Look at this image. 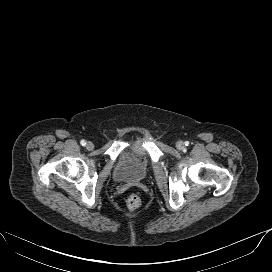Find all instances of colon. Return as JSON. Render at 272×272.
I'll return each instance as SVG.
<instances>
[{"label": "colon", "mask_w": 272, "mask_h": 272, "mask_svg": "<svg viewBox=\"0 0 272 272\" xmlns=\"http://www.w3.org/2000/svg\"><path fill=\"white\" fill-rule=\"evenodd\" d=\"M126 204L130 210H136L141 206L142 201L137 194H131L128 196Z\"/></svg>", "instance_id": "1"}]
</instances>
